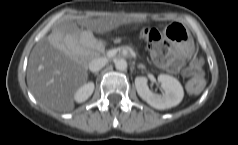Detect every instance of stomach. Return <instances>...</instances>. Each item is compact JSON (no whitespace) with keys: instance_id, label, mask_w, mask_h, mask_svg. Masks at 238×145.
<instances>
[{"instance_id":"stomach-1","label":"stomach","mask_w":238,"mask_h":145,"mask_svg":"<svg viewBox=\"0 0 238 145\" xmlns=\"http://www.w3.org/2000/svg\"><path fill=\"white\" fill-rule=\"evenodd\" d=\"M164 35L180 51L193 48L194 37L189 30L178 21H169L163 29Z\"/></svg>"}]
</instances>
